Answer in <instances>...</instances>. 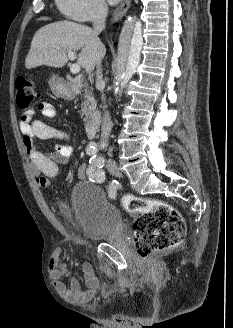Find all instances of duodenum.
<instances>
[{
    "label": "duodenum",
    "instance_id": "duodenum-1",
    "mask_svg": "<svg viewBox=\"0 0 233 328\" xmlns=\"http://www.w3.org/2000/svg\"><path fill=\"white\" fill-rule=\"evenodd\" d=\"M71 89H72V91H77L78 86L77 85H72ZM86 128H87V132H88L89 136H94L96 134V131H97V128H98V121L94 116L89 118V120L87 121Z\"/></svg>",
    "mask_w": 233,
    "mask_h": 328
}]
</instances>
